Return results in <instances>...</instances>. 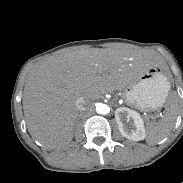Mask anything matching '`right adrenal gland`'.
I'll return each instance as SVG.
<instances>
[{"mask_svg":"<svg viewBox=\"0 0 183 183\" xmlns=\"http://www.w3.org/2000/svg\"><path fill=\"white\" fill-rule=\"evenodd\" d=\"M81 115H82V112H80V113L77 115V117L79 118Z\"/></svg>","mask_w":183,"mask_h":183,"instance_id":"2a0ac1e0","label":"right adrenal gland"}]
</instances>
